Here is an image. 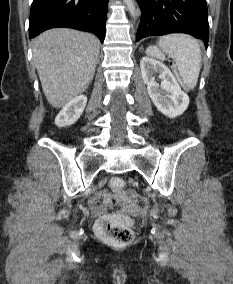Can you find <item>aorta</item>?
<instances>
[{
  "mask_svg": "<svg viewBox=\"0 0 233 284\" xmlns=\"http://www.w3.org/2000/svg\"><path fill=\"white\" fill-rule=\"evenodd\" d=\"M126 4L128 10L132 14V16L135 18V6H134V0H123Z\"/></svg>",
  "mask_w": 233,
  "mask_h": 284,
  "instance_id": "obj_1",
  "label": "aorta"
}]
</instances>
